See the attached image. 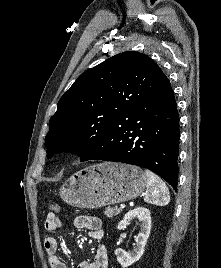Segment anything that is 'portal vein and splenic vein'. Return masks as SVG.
<instances>
[{
  "instance_id": "1",
  "label": "portal vein and splenic vein",
  "mask_w": 221,
  "mask_h": 268,
  "mask_svg": "<svg viewBox=\"0 0 221 268\" xmlns=\"http://www.w3.org/2000/svg\"><path fill=\"white\" fill-rule=\"evenodd\" d=\"M124 208H125V204H121L120 209H124Z\"/></svg>"
}]
</instances>
